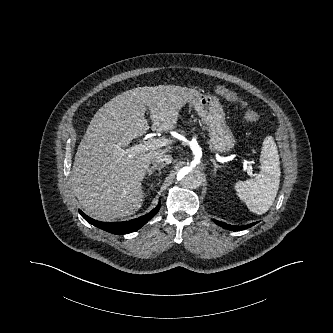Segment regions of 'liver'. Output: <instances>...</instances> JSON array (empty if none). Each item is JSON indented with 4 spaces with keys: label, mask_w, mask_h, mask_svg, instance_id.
Masks as SVG:
<instances>
[{
    "label": "liver",
    "mask_w": 333,
    "mask_h": 333,
    "mask_svg": "<svg viewBox=\"0 0 333 333\" xmlns=\"http://www.w3.org/2000/svg\"><path fill=\"white\" fill-rule=\"evenodd\" d=\"M199 92L175 85L137 87L125 91L101 107L80 143L71 182L74 195L87 214L101 221H113L136 213L145 193L142 180L152 158L172 147L137 153L131 141L149 129L145 119L150 110L157 132L175 128L181 108Z\"/></svg>",
    "instance_id": "obj_1"
}]
</instances>
